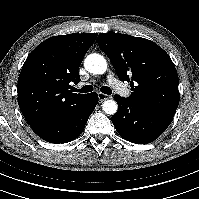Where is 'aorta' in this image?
<instances>
[{
  "label": "aorta",
  "mask_w": 199,
  "mask_h": 199,
  "mask_svg": "<svg viewBox=\"0 0 199 199\" xmlns=\"http://www.w3.org/2000/svg\"><path fill=\"white\" fill-rule=\"evenodd\" d=\"M85 69L92 74H103L107 70V62L100 54H90L84 61ZM106 114L113 115L117 112L118 105L114 100H106L102 105Z\"/></svg>",
  "instance_id": "obj_1"
}]
</instances>
